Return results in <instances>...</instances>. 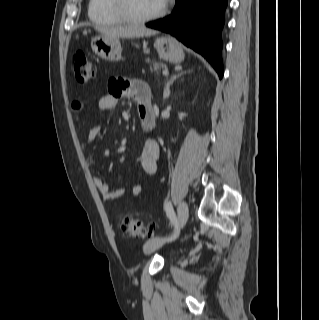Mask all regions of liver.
I'll use <instances>...</instances> for the list:
<instances>
[{
  "mask_svg": "<svg viewBox=\"0 0 319 320\" xmlns=\"http://www.w3.org/2000/svg\"><path fill=\"white\" fill-rule=\"evenodd\" d=\"M99 32L112 37L135 38L157 34V31L147 29L144 26H124V27H99Z\"/></svg>",
  "mask_w": 319,
  "mask_h": 320,
  "instance_id": "6515ba94",
  "label": "liver"
}]
</instances>
